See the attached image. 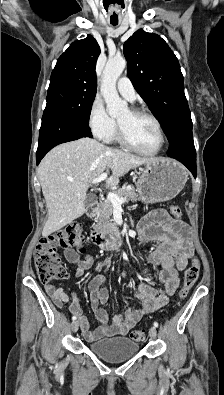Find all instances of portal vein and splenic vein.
<instances>
[{"instance_id":"18ae733b","label":"portal vein and splenic vein","mask_w":224,"mask_h":395,"mask_svg":"<svg viewBox=\"0 0 224 395\" xmlns=\"http://www.w3.org/2000/svg\"><path fill=\"white\" fill-rule=\"evenodd\" d=\"M107 178V173H102L98 178L93 179L92 183H99ZM107 199L110 200L114 207H120L123 203L126 202L125 198H120L118 195L114 194L113 192H109L107 195Z\"/></svg>"}]
</instances>
